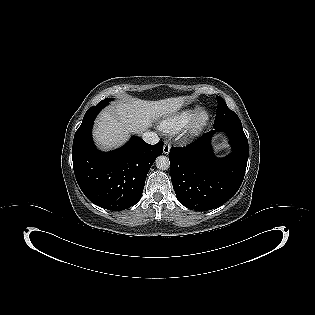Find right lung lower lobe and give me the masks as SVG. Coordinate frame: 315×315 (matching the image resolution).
Segmentation results:
<instances>
[{"instance_id":"right-lung-lower-lobe-1","label":"right lung lower lobe","mask_w":315,"mask_h":315,"mask_svg":"<svg viewBox=\"0 0 315 315\" xmlns=\"http://www.w3.org/2000/svg\"><path fill=\"white\" fill-rule=\"evenodd\" d=\"M107 104L100 102L85 113L74 136L73 168L79 187L92 203L121 211L140 200L148 171L162 154L163 142L150 145L133 136L120 149L99 152L93 145L91 131L96 115Z\"/></svg>"}]
</instances>
